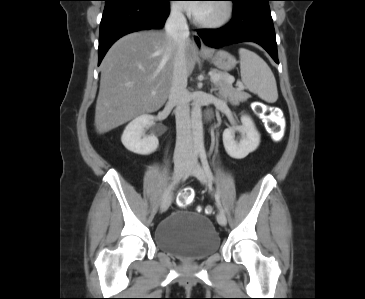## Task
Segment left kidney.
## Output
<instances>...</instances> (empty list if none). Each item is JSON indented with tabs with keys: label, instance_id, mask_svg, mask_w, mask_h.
I'll return each mask as SVG.
<instances>
[{
	"label": "left kidney",
	"instance_id": "obj_1",
	"mask_svg": "<svg viewBox=\"0 0 365 299\" xmlns=\"http://www.w3.org/2000/svg\"><path fill=\"white\" fill-rule=\"evenodd\" d=\"M241 126H233L223 132V144L229 156L235 159H243L249 153L255 151L260 143V134L252 119L243 115ZM239 131L242 136L239 141L235 140V132Z\"/></svg>",
	"mask_w": 365,
	"mask_h": 299
}]
</instances>
